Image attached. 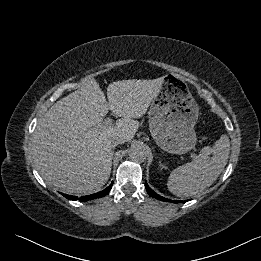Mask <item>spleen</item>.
Instances as JSON below:
<instances>
[{
  "instance_id": "3e777b00",
  "label": "spleen",
  "mask_w": 261,
  "mask_h": 261,
  "mask_svg": "<svg viewBox=\"0 0 261 261\" xmlns=\"http://www.w3.org/2000/svg\"><path fill=\"white\" fill-rule=\"evenodd\" d=\"M229 153V138L222 135L212 147L202 148L195 160L179 166L170 173L167 182L169 191L179 197H188L205 190L223 171Z\"/></svg>"
}]
</instances>
